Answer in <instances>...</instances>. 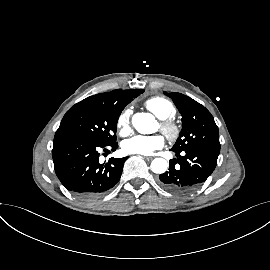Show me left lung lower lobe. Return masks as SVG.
<instances>
[{
	"instance_id": "obj_1",
	"label": "left lung lower lobe",
	"mask_w": 270,
	"mask_h": 270,
	"mask_svg": "<svg viewBox=\"0 0 270 270\" xmlns=\"http://www.w3.org/2000/svg\"><path fill=\"white\" fill-rule=\"evenodd\" d=\"M174 152L178 158L170 161L169 171L159 176V183L175 194H188L200 187L214 171L219 155L202 149Z\"/></svg>"
}]
</instances>
